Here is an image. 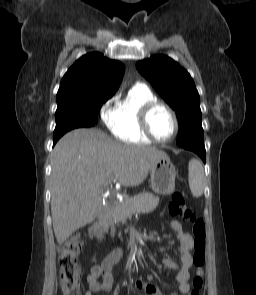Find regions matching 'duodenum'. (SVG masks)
Returning a JSON list of instances; mask_svg holds the SVG:
<instances>
[{"label":"duodenum","mask_w":256,"mask_h":295,"mask_svg":"<svg viewBox=\"0 0 256 295\" xmlns=\"http://www.w3.org/2000/svg\"><path fill=\"white\" fill-rule=\"evenodd\" d=\"M109 214V207L106 205L101 206L98 215V221L89 228L90 236L98 242H101V224L108 220Z\"/></svg>","instance_id":"duodenum-1"}]
</instances>
